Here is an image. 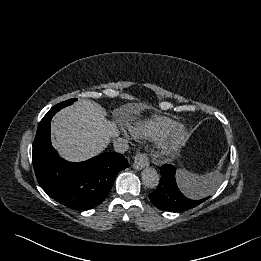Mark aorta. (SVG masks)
<instances>
[{
    "mask_svg": "<svg viewBox=\"0 0 261 261\" xmlns=\"http://www.w3.org/2000/svg\"><path fill=\"white\" fill-rule=\"evenodd\" d=\"M142 182L147 188H156L159 184L160 177L154 168H145L142 172Z\"/></svg>",
    "mask_w": 261,
    "mask_h": 261,
    "instance_id": "obj_1",
    "label": "aorta"
}]
</instances>
